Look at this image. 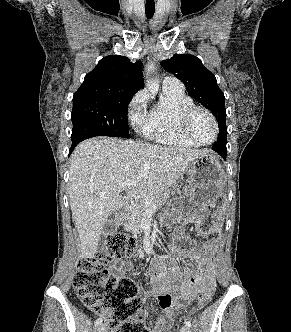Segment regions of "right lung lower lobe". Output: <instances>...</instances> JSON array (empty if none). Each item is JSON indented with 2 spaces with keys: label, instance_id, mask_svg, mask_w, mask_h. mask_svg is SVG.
Returning a JSON list of instances; mask_svg holds the SVG:
<instances>
[{
  "label": "right lung lower lobe",
  "instance_id": "98d812e1",
  "mask_svg": "<svg viewBox=\"0 0 291 332\" xmlns=\"http://www.w3.org/2000/svg\"><path fill=\"white\" fill-rule=\"evenodd\" d=\"M83 134L85 136L94 134V128L91 125H85L81 128L72 130V147H71L70 153L75 148V146L79 143V140L81 139V137H79V135H83Z\"/></svg>",
  "mask_w": 291,
  "mask_h": 332
}]
</instances>
